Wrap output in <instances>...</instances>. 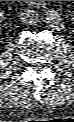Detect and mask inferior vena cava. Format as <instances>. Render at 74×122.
<instances>
[{"label":"inferior vena cava","instance_id":"602c4592","mask_svg":"<svg viewBox=\"0 0 74 122\" xmlns=\"http://www.w3.org/2000/svg\"><path fill=\"white\" fill-rule=\"evenodd\" d=\"M35 16H36L35 12L28 9L21 13V19L24 23H29L30 17H35Z\"/></svg>","mask_w":74,"mask_h":122}]
</instances>
